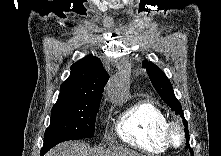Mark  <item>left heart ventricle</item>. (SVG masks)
<instances>
[{"instance_id": "b2bd125f", "label": "left heart ventricle", "mask_w": 221, "mask_h": 156, "mask_svg": "<svg viewBox=\"0 0 221 156\" xmlns=\"http://www.w3.org/2000/svg\"><path fill=\"white\" fill-rule=\"evenodd\" d=\"M179 138H180L179 133H175V139H176V140H179Z\"/></svg>"}]
</instances>
